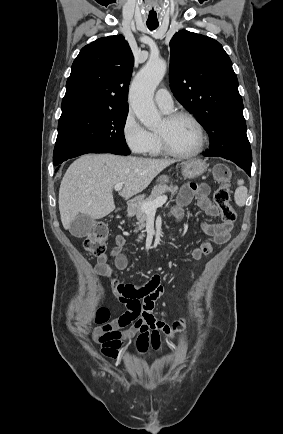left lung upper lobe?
<instances>
[{"label":"left lung upper lobe","instance_id":"1","mask_svg":"<svg viewBox=\"0 0 283 434\" xmlns=\"http://www.w3.org/2000/svg\"><path fill=\"white\" fill-rule=\"evenodd\" d=\"M170 87L210 138L208 156L252 161L232 62L216 40L181 30L170 41Z\"/></svg>","mask_w":283,"mask_h":434}]
</instances>
